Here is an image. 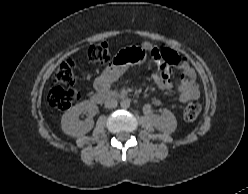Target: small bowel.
<instances>
[{
	"mask_svg": "<svg viewBox=\"0 0 248 194\" xmlns=\"http://www.w3.org/2000/svg\"><path fill=\"white\" fill-rule=\"evenodd\" d=\"M142 51L141 55L137 57L134 62H142L144 59L143 51L148 52L150 55L152 51L157 47L151 43L144 42L140 45ZM127 51L121 52L114 61L98 76L94 81L95 89L100 91H107L111 85L119 78L124 71L127 62L123 61V55ZM172 62L164 61L158 64V73H155L152 78L155 84L162 90H169L173 87V83L170 77L171 66L174 65L181 70L179 84L177 86L179 101L183 104L199 98V89L195 83V75L192 68L187 61L179 56L176 52L172 51ZM154 105H158L157 100L153 101Z\"/></svg>",
	"mask_w": 248,
	"mask_h": 194,
	"instance_id": "obj_1",
	"label": "small bowel"
}]
</instances>
